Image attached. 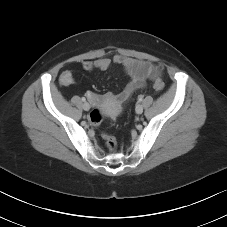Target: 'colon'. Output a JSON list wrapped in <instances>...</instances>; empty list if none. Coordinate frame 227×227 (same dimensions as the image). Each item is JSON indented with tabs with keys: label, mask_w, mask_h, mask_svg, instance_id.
Instances as JSON below:
<instances>
[{
	"label": "colon",
	"mask_w": 227,
	"mask_h": 227,
	"mask_svg": "<svg viewBox=\"0 0 227 227\" xmlns=\"http://www.w3.org/2000/svg\"><path fill=\"white\" fill-rule=\"evenodd\" d=\"M153 86L158 92H161L164 89V83L160 79H156ZM89 121L92 126L99 127L103 122L101 111L99 109L93 110L90 114ZM103 139L110 150H114L116 148V139L112 134L104 132Z\"/></svg>",
	"instance_id": "colon-1"
}]
</instances>
